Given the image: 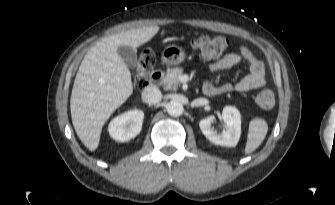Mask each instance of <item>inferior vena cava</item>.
<instances>
[{"label": "inferior vena cava", "mask_w": 335, "mask_h": 205, "mask_svg": "<svg viewBox=\"0 0 335 205\" xmlns=\"http://www.w3.org/2000/svg\"><path fill=\"white\" fill-rule=\"evenodd\" d=\"M162 97L161 91L155 86H148L142 92V100L147 104H157Z\"/></svg>", "instance_id": "obj_1"}]
</instances>
